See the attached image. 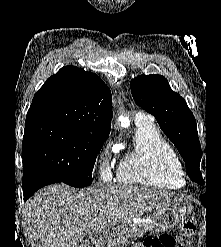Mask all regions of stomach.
Wrapping results in <instances>:
<instances>
[{"label":"stomach","mask_w":221,"mask_h":247,"mask_svg":"<svg viewBox=\"0 0 221 247\" xmlns=\"http://www.w3.org/2000/svg\"><path fill=\"white\" fill-rule=\"evenodd\" d=\"M191 213L190 203L181 197L170 200L164 206L156 209L151 218L152 223L148 229L151 232L168 230L189 216Z\"/></svg>","instance_id":"1"}]
</instances>
